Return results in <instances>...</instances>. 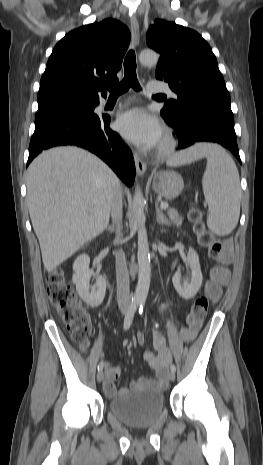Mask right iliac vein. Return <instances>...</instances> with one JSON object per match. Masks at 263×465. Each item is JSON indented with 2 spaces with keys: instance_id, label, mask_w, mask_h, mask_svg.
Segmentation results:
<instances>
[{
  "instance_id": "1",
  "label": "right iliac vein",
  "mask_w": 263,
  "mask_h": 465,
  "mask_svg": "<svg viewBox=\"0 0 263 465\" xmlns=\"http://www.w3.org/2000/svg\"><path fill=\"white\" fill-rule=\"evenodd\" d=\"M103 378H104V373H103L102 370H100V371L98 372V374H97V381H98V382H101V381L103 380Z\"/></svg>"
}]
</instances>
